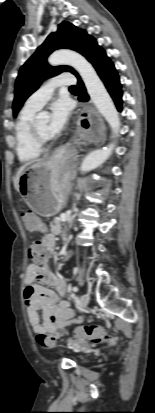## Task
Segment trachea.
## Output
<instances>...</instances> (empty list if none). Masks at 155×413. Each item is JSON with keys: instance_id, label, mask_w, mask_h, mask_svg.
I'll return each mask as SVG.
<instances>
[{"instance_id": "1", "label": "trachea", "mask_w": 155, "mask_h": 413, "mask_svg": "<svg viewBox=\"0 0 155 413\" xmlns=\"http://www.w3.org/2000/svg\"><path fill=\"white\" fill-rule=\"evenodd\" d=\"M70 89H77V87L76 86H71Z\"/></svg>"}]
</instances>
